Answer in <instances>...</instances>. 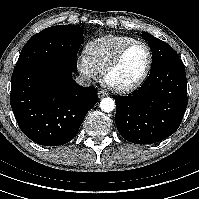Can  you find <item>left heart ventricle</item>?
I'll return each mask as SVG.
<instances>
[{
	"mask_svg": "<svg viewBox=\"0 0 199 199\" xmlns=\"http://www.w3.org/2000/svg\"><path fill=\"white\" fill-rule=\"evenodd\" d=\"M147 62L146 49L141 45L132 47L124 56L120 65L109 75V82L124 85L136 80Z\"/></svg>",
	"mask_w": 199,
	"mask_h": 199,
	"instance_id": "obj_1",
	"label": "left heart ventricle"
}]
</instances>
